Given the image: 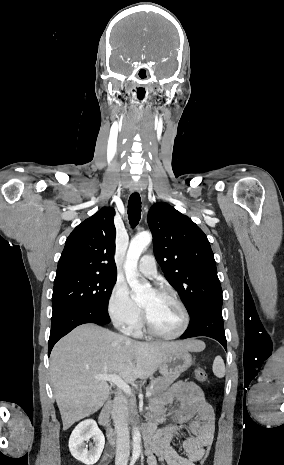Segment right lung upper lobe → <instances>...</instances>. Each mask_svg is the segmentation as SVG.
I'll return each instance as SVG.
<instances>
[{"label":"right lung upper lobe","mask_w":284,"mask_h":465,"mask_svg":"<svg viewBox=\"0 0 284 465\" xmlns=\"http://www.w3.org/2000/svg\"><path fill=\"white\" fill-rule=\"evenodd\" d=\"M114 215L113 208H103L72 231L58 261L55 279L76 274L117 277Z\"/></svg>","instance_id":"right-lung-upper-lobe-1"}]
</instances>
